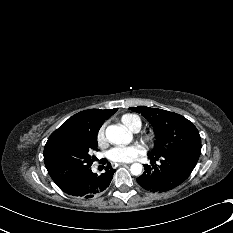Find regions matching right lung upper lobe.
<instances>
[{"instance_id":"cb5924a9","label":"right lung upper lobe","mask_w":233,"mask_h":233,"mask_svg":"<svg viewBox=\"0 0 233 233\" xmlns=\"http://www.w3.org/2000/svg\"><path fill=\"white\" fill-rule=\"evenodd\" d=\"M118 109L111 110L89 109L79 112L66 120L55 130L44 148V162L47 168L48 156L55 144L67 137H82L90 134H98L104 121L111 117Z\"/></svg>"}]
</instances>
